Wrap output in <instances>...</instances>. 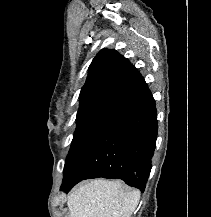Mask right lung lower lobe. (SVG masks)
<instances>
[{"instance_id": "98d812e1", "label": "right lung lower lobe", "mask_w": 211, "mask_h": 217, "mask_svg": "<svg viewBox=\"0 0 211 217\" xmlns=\"http://www.w3.org/2000/svg\"><path fill=\"white\" fill-rule=\"evenodd\" d=\"M158 131L155 100L151 93L117 116L96 138L63 179L68 192L91 178H118L144 191L151 170Z\"/></svg>"}]
</instances>
